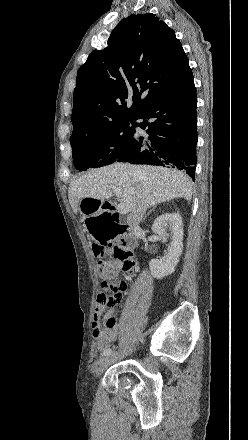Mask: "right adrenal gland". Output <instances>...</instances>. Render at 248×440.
I'll return each mask as SVG.
<instances>
[{"instance_id":"2a0ac1e0","label":"right adrenal gland","mask_w":248,"mask_h":440,"mask_svg":"<svg viewBox=\"0 0 248 440\" xmlns=\"http://www.w3.org/2000/svg\"><path fill=\"white\" fill-rule=\"evenodd\" d=\"M154 209H155V208L153 207V209L149 211V213L147 214V216H148L152 211H154ZM147 216H145L144 220L146 219Z\"/></svg>"}]
</instances>
